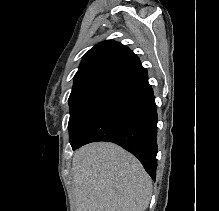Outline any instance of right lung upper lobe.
<instances>
[{
  "label": "right lung upper lobe",
  "instance_id": "cb5924a9",
  "mask_svg": "<svg viewBox=\"0 0 219 211\" xmlns=\"http://www.w3.org/2000/svg\"><path fill=\"white\" fill-rule=\"evenodd\" d=\"M142 68L139 58L126 46L103 41L83 57L70 97L99 87L113 88Z\"/></svg>",
  "mask_w": 219,
  "mask_h": 211
}]
</instances>
